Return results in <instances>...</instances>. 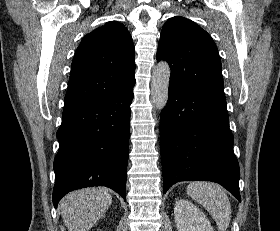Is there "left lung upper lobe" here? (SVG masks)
Listing matches in <instances>:
<instances>
[{
    "mask_svg": "<svg viewBox=\"0 0 280 231\" xmlns=\"http://www.w3.org/2000/svg\"><path fill=\"white\" fill-rule=\"evenodd\" d=\"M171 68L170 84L224 93L221 60L210 35L194 22L173 17L163 25L157 61Z\"/></svg>",
    "mask_w": 280,
    "mask_h": 231,
    "instance_id": "1",
    "label": "left lung upper lobe"
}]
</instances>
